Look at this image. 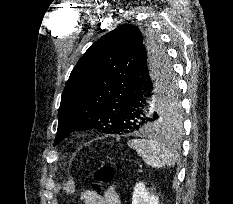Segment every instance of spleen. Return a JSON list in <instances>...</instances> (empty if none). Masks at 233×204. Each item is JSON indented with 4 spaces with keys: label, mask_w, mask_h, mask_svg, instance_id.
Masks as SVG:
<instances>
[{
    "label": "spleen",
    "mask_w": 233,
    "mask_h": 204,
    "mask_svg": "<svg viewBox=\"0 0 233 204\" xmlns=\"http://www.w3.org/2000/svg\"><path fill=\"white\" fill-rule=\"evenodd\" d=\"M128 145L136 150L147 165L153 168L173 167L177 161L174 147L156 139H132L128 141Z\"/></svg>",
    "instance_id": "3e777b00"
}]
</instances>
